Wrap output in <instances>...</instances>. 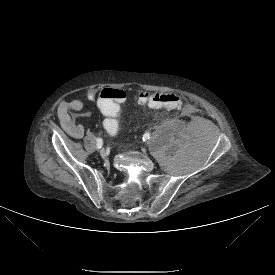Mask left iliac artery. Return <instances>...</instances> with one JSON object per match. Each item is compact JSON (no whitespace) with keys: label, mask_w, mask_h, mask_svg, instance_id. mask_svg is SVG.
I'll return each instance as SVG.
<instances>
[{"label":"left iliac artery","mask_w":275,"mask_h":275,"mask_svg":"<svg viewBox=\"0 0 275 275\" xmlns=\"http://www.w3.org/2000/svg\"><path fill=\"white\" fill-rule=\"evenodd\" d=\"M150 138V133L149 132H146L145 134H144V139H149Z\"/></svg>","instance_id":"44dca946"}]
</instances>
